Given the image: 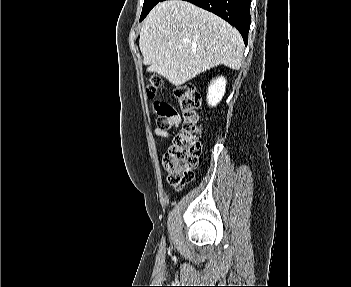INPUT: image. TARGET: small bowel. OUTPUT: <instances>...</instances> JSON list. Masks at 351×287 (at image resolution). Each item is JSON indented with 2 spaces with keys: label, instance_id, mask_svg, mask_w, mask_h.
I'll return each instance as SVG.
<instances>
[{
  "label": "small bowel",
  "instance_id": "obj_1",
  "mask_svg": "<svg viewBox=\"0 0 351 287\" xmlns=\"http://www.w3.org/2000/svg\"><path fill=\"white\" fill-rule=\"evenodd\" d=\"M180 123V118L178 115H176L171 122V126L169 129H160L157 128L154 130L155 135L162 137V138H169L172 136V134L174 133V131L178 128Z\"/></svg>",
  "mask_w": 351,
  "mask_h": 287
}]
</instances>
